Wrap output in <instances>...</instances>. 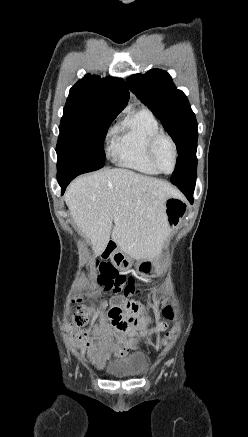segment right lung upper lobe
Segmentation results:
<instances>
[{
    "instance_id": "1",
    "label": "right lung upper lobe",
    "mask_w": 248,
    "mask_h": 437,
    "mask_svg": "<svg viewBox=\"0 0 248 437\" xmlns=\"http://www.w3.org/2000/svg\"><path fill=\"white\" fill-rule=\"evenodd\" d=\"M128 99L129 91L123 80L86 75L70 89L64 112L89 117L117 116Z\"/></svg>"
}]
</instances>
